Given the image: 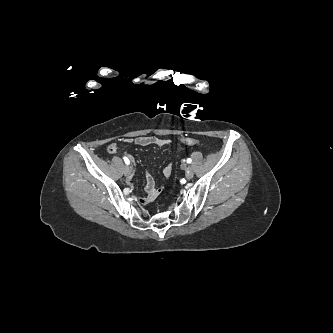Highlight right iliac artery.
Segmentation results:
<instances>
[{"label":"right iliac artery","mask_w":333,"mask_h":333,"mask_svg":"<svg viewBox=\"0 0 333 333\" xmlns=\"http://www.w3.org/2000/svg\"><path fill=\"white\" fill-rule=\"evenodd\" d=\"M123 159H124V162H125L127 165L130 164V161H129V159H128L127 157H124Z\"/></svg>","instance_id":"82829eb1"}]
</instances>
